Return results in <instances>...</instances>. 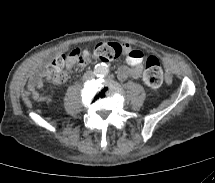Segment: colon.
Here are the masks:
<instances>
[{"label":"colon","instance_id":"colon-1","mask_svg":"<svg viewBox=\"0 0 215 183\" xmlns=\"http://www.w3.org/2000/svg\"><path fill=\"white\" fill-rule=\"evenodd\" d=\"M123 52V47L118 43L99 42L92 52L75 49L69 55L59 53L51 60L48 70L55 76L63 75L68 67L70 58L76 59L77 63L85 64L93 60L111 62L117 59ZM145 70L144 80L152 88H157L163 80V72L159 59L154 55H143Z\"/></svg>","mask_w":215,"mask_h":183}]
</instances>
